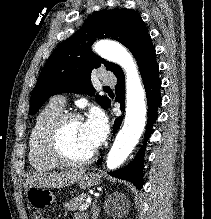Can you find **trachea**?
<instances>
[{"instance_id": "1", "label": "trachea", "mask_w": 211, "mask_h": 219, "mask_svg": "<svg viewBox=\"0 0 211 219\" xmlns=\"http://www.w3.org/2000/svg\"><path fill=\"white\" fill-rule=\"evenodd\" d=\"M104 89H105V90H109V89H110V87L106 86V87H104Z\"/></svg>"}]
</instances>
